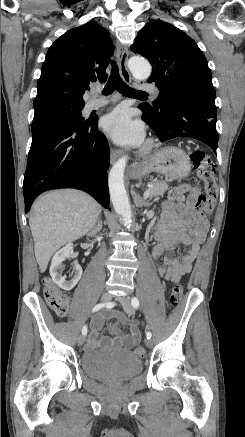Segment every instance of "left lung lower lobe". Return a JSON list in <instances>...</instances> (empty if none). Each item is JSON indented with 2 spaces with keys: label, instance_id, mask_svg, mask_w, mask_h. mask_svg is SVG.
I'll return each mask as SVG.
<instances>
[{
  "label": "left lung lower lobe",
  "instance_id": "1",
  "mask_svg": "<svg viewBox=\"0 0 245 437\" xmlns=\"http://www.w3.org/2000/svg\"><path fill=\"white\" fill-rule=\"evenodd\" d=\"M160 109L141 108L142 119L165 142L177 137H190L210 146L216 154L218 133L215 108L206 103L184 96L161 99Z\"/></svg>",
  "mask_w": 245,
  "mask_h": 437
}]
</instances>
